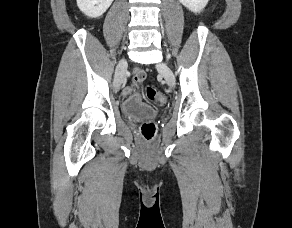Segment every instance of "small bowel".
Instances as JSON below:
<instances>
[{"label": "small bowel", "mask_w": 292, "mask_h": 228, "mask_svg": "<svg viewBox=\"0 0 292 228\" xmlns=\"http://www.w3.org/2000/svg\"><path fill=\"white\" fill-rule=\"evenodd\" d=\"M145 78L146 72L142 68H135L132 73L131 84L122 89V95L124 97H130L131 100L140 101V96L135 93V89Z\"/></svg>", "instance_id": "c3829d8e"}]
</instances>
